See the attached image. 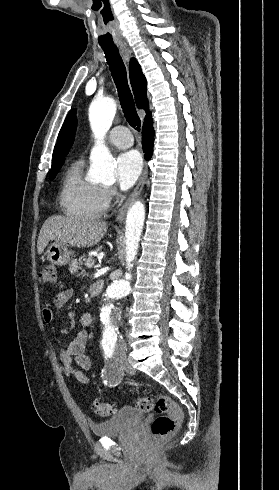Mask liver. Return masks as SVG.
<instances>
[{"label": "liver", "mask_w": 279, "mask_h": 490, "mask_svg": "<svg viewBox=\"0 0 279 490\" xmlns=\"http://www.w3.org/2000/svg\"><path fill=\"white\" fill-rule=\"evenodd\" d=\"M108 224L92 218H63V216H51L44 222L38 242L37 252L43 254L50 240L61 246H78V248H90L97 244L106 234Z\"/></svg>", "instance_id": "1"}]
</instances>
